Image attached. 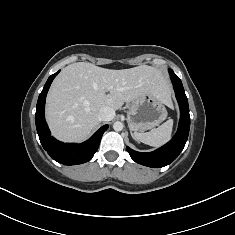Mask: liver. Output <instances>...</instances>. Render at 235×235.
Instances as JSON below:
<instances>
[{
	"mask_svg": "<svg viewBox=\"0 0 235 235\" xmlns=\"http://www.w3.org/2000/svg\"><path fill=\"white\" fill-rule=\"evenodd\" d=\"M146 93L171 105L168 80L152 66L112 70L88 62L73 63L62 69L51 85L46 120L57 139L81 142L99 125L100 108L115 111Z\"/></svg>",
	"mask_w": 235,
	"mask_h": 235,
	"instance_id": "obj_1",
	"label": "liver"
}]
</instances>
